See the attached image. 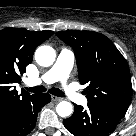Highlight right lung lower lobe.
I'll return each mask as SVG.
<instances>
[{
  "label": "right lung lower lobe",
  "instance_id": "right-lung-lower-lobe-1",
  "mask_svg": "<svg viewBox=\"0 0 136 136\" xmlns=\"http://www.w3.org/2000/svg\"><path fill=\"white\" fill-rule=\"evenodd\" d=\"M51 101L48 93L34 94L24 102L19 110L0 119V136H26L37 121V115L45 104Z\"/></svg>",
  "mask_w": 136,
  "mask_h": 136
}]
</instances>
